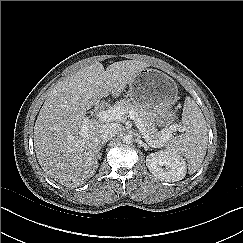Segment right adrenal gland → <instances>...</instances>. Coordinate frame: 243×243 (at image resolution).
<instances>
[{
	"instance_id": "right-adrenal-gland-1",
	"label": "right adrenal gland",
	"mask_w": 243,
	"mask_h": 243,
	"mask_svg": "<svg viewBox=\"0 0 243 243\" xmlns=\"http://www.w3.org/2000/svg\"><path fill=\"white\" fill-rule=\"evenodd\" d=\"M106 143H107V141H102V142L100 143V145L98 146V151H99V153H98V158H101V155H102L101 152H103V148H104V146L106 145ZM100 151H101V152H100Z\"/></svg>"
}]
</instances>
